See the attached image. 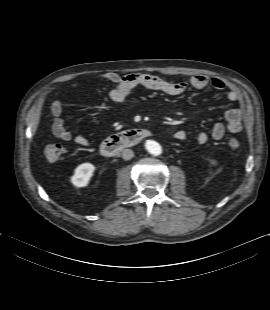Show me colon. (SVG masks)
Returning a JSON list of instances; mask_svg holds the SVG:
<instances>
[{
  "instance_id": "obj_1",
  "label": "colon",
  "mask_w": 270,
  "mask_h": 310,
  "mask_svg": "<svg viewBox=\"0 0 270 310\" xmlns=\"http://www.w3.org/2000/svg\"><path fill=\"white\" fill-rule=\"evenodd\" d=\"M227 144L228 147L233 151L238 150L241 146L240 140L236 137L229 138ZM64 153L65 149L60 144H50L45 149V156L51 162L62 160Z\"/></svg>"
}]
</instances>
